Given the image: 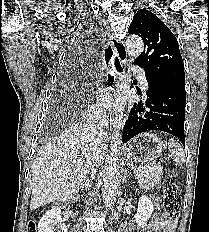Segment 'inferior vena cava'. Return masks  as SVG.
Segmentation results:
<instances>
[{
	"label": "inferior vena cava",
	"instance_id": "inferior-vena-cava-1",
	"mask_svg": "<svg viewBox=\"0 0 209 232\" xmlns=\"http://www.w3.org/2000/svg\"><path fill=\"white\" fill-rule=\"evenodd\" d=\"M102 141H103V138L102 137H99L98 140L95 141V144L94 145V149H93V153H94V161L92 163V168H91V171L89 172L90 175H91V178H94L95 175H96V167L98 165V160L100 158V153H101V144H102Z\"/></svg>",
	"mask_w": 209,
	"mask_h": 232
}]
</instances>
